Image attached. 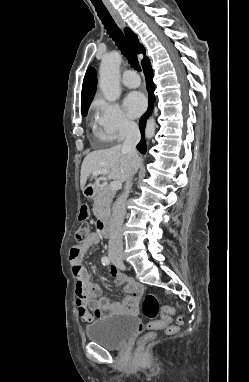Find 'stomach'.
Wrapping results in <instances>:
<instances>
[{"instance_id":"stomach-1","label":"stomach","mask_w":249,"mask_h":382,"mask_svg":"<svg viewBox=\"0 0 249 382\" xmlns=\"http://www.w3.org/2000/svg\"><path fill=\"white\" fill-rule=\"evenodd\" d=\"M83 194L87 198H92L95 194V187L91 183H88L83 190Z\"/></svg>"}]
</instances>
